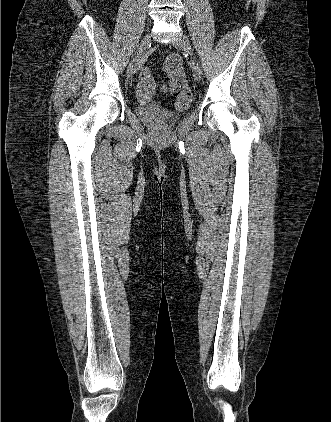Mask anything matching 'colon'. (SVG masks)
I'll return each mask as SVG.
<instances>
[{"label":"colon","instance_id":"colon-1","mask_svg":"<svg viewBox=\"0 0 331 422\" xmlns=\"http://www.w3.org/2000/svg\"><path fill=\"white\" fill-rule=\"evenodd\" d=\"M164 72L170 83L165 87L173 95L177 96L176 107L183 109L187 107L191 100V92L184 80V67L182 59L177 54H170L164 62ZM144 74H149L147 70Z\"/></svg>","mask_w":331,"mask_h":422}]
</instances>
